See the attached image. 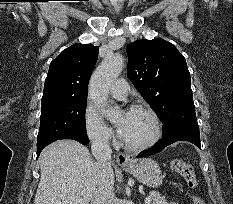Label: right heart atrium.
<instances>
[{
  "instance_id": "right-heart-atrium-1",
  "label": "right heart atrium",
  "mask_w": 233,
  "mask_h": 204,
  "mask_svg": "<svg viewBox=\"0 0 233 204\" xmlns=\"http://www.w3.org/2000/svg\"><path fill=\"white\" fill-rule=\"evenodd\" d=\"M83 120L85 134L91 143L97 146H108L114 142L113 130L92 106L86 107Z\"/></svg>"
}]
</instances>
